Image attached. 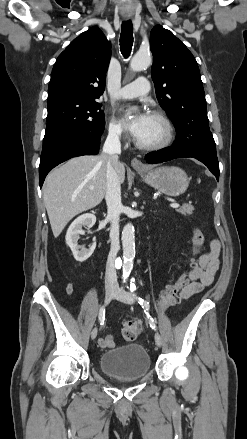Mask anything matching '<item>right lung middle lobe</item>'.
<instances>
[{"mask_svg":"<svg viewBox=\"0 0 247 439\" xmlns=\"http://www.w3.org/2000/svg\"><path fill=\"white\" fill-rule=\"evenodd\" d=\"M104 112L91 100H66L48 107L43 147L62 140L103 133Z\"/></svg>","mask_w":247,"mask_h":439,"instance_id":"dd1d6c3e","label":"right lung middle lobe"}]
</instances>
